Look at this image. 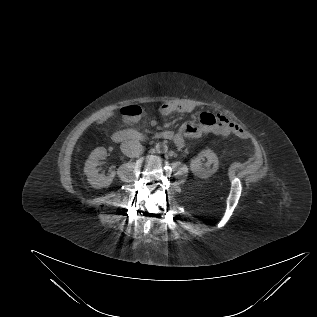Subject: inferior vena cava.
<instances>
[{"label": "inferior vena cava", "mask_w": 317, "mask_h": 317, "mask_svg": "<svg viewBox=\"0 0 317 317\" xmlns=\"http://www.w3.org/2000/svg\"><path fill=\"white\" fill-rule=\"evenodd\" d=\"M121 151L127 157H139L143 152V146L137 140L124 141L121 146Z\"/></svg>", "instance_id": "1"}]
</instances>
